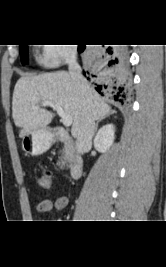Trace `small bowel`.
<instances>
[{"label": "small bowel", "instance_id": "obj_1", "mask_svg": "<svg viewBox=\"0 0 166 267\" xmlns=\"http://www.w3.org/2000/svg\"><path fill=\"white\" fill-rule=\"evenodd\" d=\"M67 204L68 198L66 196H59L54 201L45 199L38 203L37 211L41 213H47L53 209L61 211L67 206Z\"/></svg>", "mask_w": 166, "mask_h": 267}]
</instances>
